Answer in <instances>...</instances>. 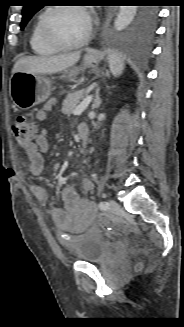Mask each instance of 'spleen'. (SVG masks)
Wrapping results in <instances>:
<instances>
[{
	"label": "spleen",
	"instance_id": "spleen-1",
	"mask_svg": "<svg viewBox=\"0 0 184 327\" xmlns=\"http://www.w3.org/2000/svg\"><path fill=\"white\" fill-rule=\"evenodd\" d=\"M108 61H109V67L114 76H119L123 69H124V64L120 57L115 54V53H110L108 55Z\"/></svg>",
	"mask_w": 184,
	"mask_h": 327
}]
</instances>
